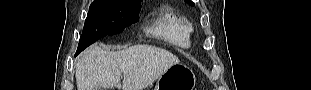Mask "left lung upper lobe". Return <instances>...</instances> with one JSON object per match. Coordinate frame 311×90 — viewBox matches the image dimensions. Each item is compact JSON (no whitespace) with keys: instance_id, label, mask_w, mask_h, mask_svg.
Listing matches in <instances>:
<instances>
[{"instance_id":"obj_1","label":"left lung upper lobe","mask_w":311,"mask_h":90,"mask_svg":"<svg viewBox=\"0 0 311 90\" xmlns=\"http://www.w3.org/2000/svg\"><path fill=\"white\" fill-rule=\"evenodd\" d=\"M188 4L190 5H194V3L192 2V0H185Z\"/></svg>"}]
</instances>
